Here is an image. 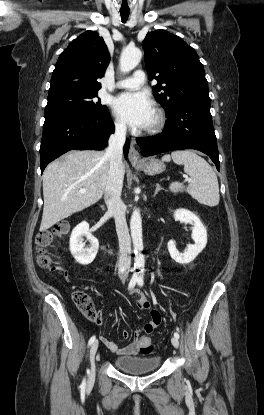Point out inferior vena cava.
<instances>
[{
	"label": "inferior vena cava",
	"mask_w": 264,
	"mask_h": 415,
	"mask_svg": "<svg viewBox=\"0 0 264 415\" xmlns=\"http://www.w3.org/2000/svg\"><path fill=\"white\" fill-rule=\"evenodd\" d=\"M126 140V125L117 123L115 133L109 138L105 157L109 160V172L105 188V202L113 214L119 240L118 274L127 276L131 265V240L126 223L124 204L121 200L123 187V145Z\"/></svg>",
	"instance_id": "602c4592"
}]
</instances>
